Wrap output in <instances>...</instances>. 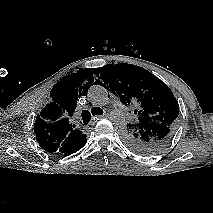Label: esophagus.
Returning <instances> with one entry per match:
<instances>
[{"label":"esophagus","instance_id":"1","mask_svg":"<svg viewBox=\"0 0 213 213\" xmlns=\"http://www.w3.org/2000/svg\"><path fill=\"white\" fill-rule=\"evenodd\" d=\"M104 116H106V115H98V116H96L95 118H94V121H92L88 126H87V129H92L93 128V126H94V124H95V120H99V119H101V118H103Z\"/></svg>","mask_w":213,"mask_h":213}]
</instances>
